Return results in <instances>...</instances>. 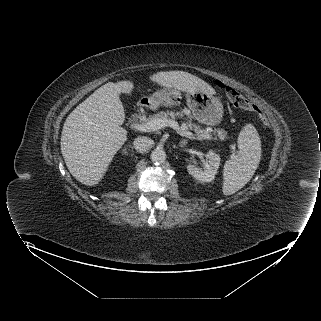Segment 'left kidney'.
I'll list each match as a JSON object with an SVG mask.
<instances>
[{"label": "left kidney", "instance_id": "obj_1", "mask_svg": "<svg viewBox=\"0 0 321 321\" xmlns=\"http://www.w3.org/2000/svg\"><path fill=\"white\" fill-rule=\"evenodd\" d=\"M220 165V156L213 151L206 154L205 170L196 167L193 164L187 166L188 173L196 180L205 183L214 180Z\"/></svg>", "mask_w": 321, "mask_h": 321}]
</instances>
